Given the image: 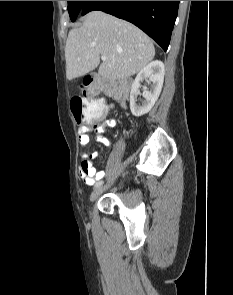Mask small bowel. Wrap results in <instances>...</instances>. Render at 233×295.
Segmentation results:
<instances>
[{"label": "small bowel", "mask_w": 233, "mask_h": 295, "mask_svg": "<svg viewBox=\"0 0 233 295\" xmlns=\"http://www.w3.org/2000/svg\"><path fill=\"white\" fill-rule=\"evenodd\" d=\"M107 126H114L115 120L109 119L106 122ZM105 129V125L99 124L95 126H82L79 128V144L81 148H85L89 144V136L91 134L95 135V139L106 147H110V141L103 135ZM98 157V153L96 151L81 154V164L79 167V174L82 180L88 184L93 185L96 181L100 180L104 177L105 171L96 170L94 165V160Z\"/></svg>", "instance_id": "1"}]
</instances>
